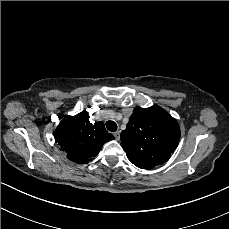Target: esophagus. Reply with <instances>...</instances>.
Here are the masks:
<instances>
[{
  "label": "esophagus",
  "mask_w": 229,
  "mask_h": 229,
  "mask_svg": "<svg viewBox=\"0 0 229 229\" xmlns=\"http://www.w3.org/2000/svg\"><path fill=\"white\" fill-rule=\"evenodd\" d=\"M114 136H115L116 140H120V131H116L114 133Z\"/></svg>",
  "instance_id": "34e87169"
}]
</instances>
